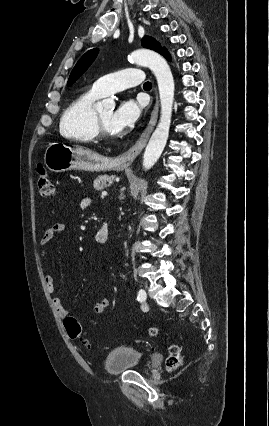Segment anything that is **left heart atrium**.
Masks as SVG:
<instances>
[{"label": "left heart atrium", "instance_id": "39dd6f15", "mask_svg": "<svg viewBox=\"0 0 269 426\" xmlns=\"http://www.w3.org/2000/svg\"><path fill=\"white\" fill-rule=\"evenodd\" d=\"M141 110L142 106L135 100L128 99L122 101L113 112L111 119L112 128L119 132L131 127L139 119Z\"/></svg>", "mask_w": 269, "mask_h": 426}]
</instances>
